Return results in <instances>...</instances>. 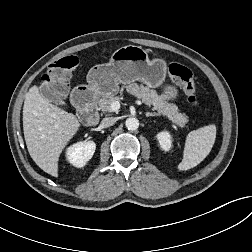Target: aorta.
I'll list each match as a JSON object with an SVG mask.
<instances>
[{
    "mask_svg": "<svg viewBox=\"0 0 252 252\" xmlns=\"http://www.w3.org/2000/svg\"><path fill=\"white\" fill-rule=\"evenodd\" d=\"M125 126L128 130H136L139 127V120L135 117H129L125 122Z\"/></svg>",
    "mask_w": 252,
    "mask_h": 252,
    "instance_id": "1",
    "label": "aorta"
}]
</instances>
